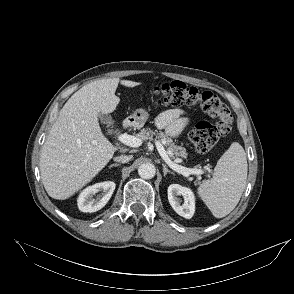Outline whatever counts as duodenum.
<instances>
[{
    "label": "duodenum",
    "instance_id": "1",
    "mask_svg": "<svg viewBox=\"0 0 294 294\" xmlns=\"http://www.w3.org/2000/svg\"><path fill=\"white\" fill-rule=\"evenodd\" d=\"M134 125V120L132 118H127L123 121V127L126 129L131 128Z\"/></svg>",
    "mask_w": 294,
    "mask_h": 294
}]
</instances>
